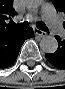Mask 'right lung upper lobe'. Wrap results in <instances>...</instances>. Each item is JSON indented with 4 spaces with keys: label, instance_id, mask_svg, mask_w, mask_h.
Masks as SVG:
<instances>
[{
    "label": "right lung upper lobe",
    "instance_id": "1",
    "mask_svg": "<svg viewBox=\"0 0 65 89\" xmlns=\"http://www.w3.org/2000/svg\"><path fill=\"white\" fill-rule=\"evenodd\" d=\"M13 0H0V33L8 32L15 29L11 23V17L15 15L14 9L12 8Z\"/></svg>",
    "mask_w": 65,
    "mask_h": 89
}]
</instances>
